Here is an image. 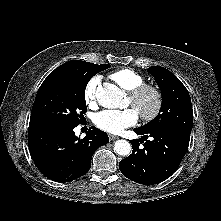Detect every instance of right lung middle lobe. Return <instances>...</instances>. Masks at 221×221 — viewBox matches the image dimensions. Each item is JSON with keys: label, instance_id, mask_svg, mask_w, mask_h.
Masks as SVG:
<instances>
[{"label": "right lung middle lobe", "instance_id": "right-lung-middle-lobe-1", "mask_svg": "<svg viewBox=\"0 0 221 221\" xmlns=\"http://www.w3.org/2000/svg\"><path fill=\"white\" fill-rule=\"evenodd\" d=\"M109 67V64L91 63L81 71L61 73L44 81L32 107L29 131L80 124L87 111V83Z\"/></svg>", "mask_w": 221, "mask_h": 221}]
</instances>
